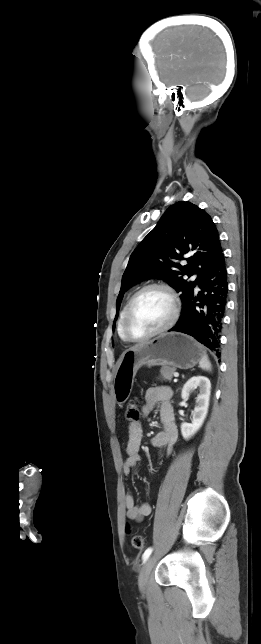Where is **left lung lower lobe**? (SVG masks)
Segmentation results:
<instances>
[{
	"instance_id": "left-lung-lower-lobe-1",
	"label": "left lung lower lobe",
	"mask_w": 261,
	"mask_h": 644,
	"mask_svg": "<svg viewBox=\"0 0 261 644\" xmlns=\"http://www.w3.org/2000/svg\"><path fill=\"white\" fill-rule=\"evenodd\" d=\"M201 291L194 292L170 331L188 334L220 356V332L227 304L228 282L223 252L209 265L199 282Z\"/></svg>"
}]
</instances>
